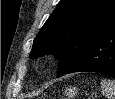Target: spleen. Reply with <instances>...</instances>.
<instances>
[{
    "instance_id": "spleen-1",
    "label": "spleen",
    "mask_w": 115,
    "mask_h": 99,
    "mask_svg": "<svg viewBox=\"0 0 115 99\" xmlns=\"http://www.w3.org/2000/svg\"><path fill=\"white\" fill-rule=\"evenodd\" d=\"M102 93L108 99H115V81L104 79L101 81Z\"/></svg>"
}]
</instances>
